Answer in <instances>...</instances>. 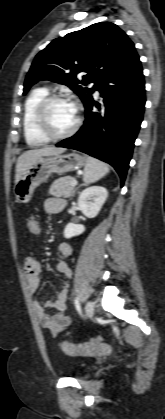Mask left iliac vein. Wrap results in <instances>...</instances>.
<instances>
[{
    "mask_svg": "<svg viewBox=\"0 0 165 419\" xmlns=\"http://www.w3.org/2000/svg\"><path fill=\"white\" fill-rule=\"evenodd\" d=\"M85 313L88 318H92L94 314V304L92 301H88L85 306Z\"/></svg>",
    "mask_w": 165,
    "mask_h": 419,
    "instance_id": "1",
    "label": "left iliac vein"
}]
</instances>
